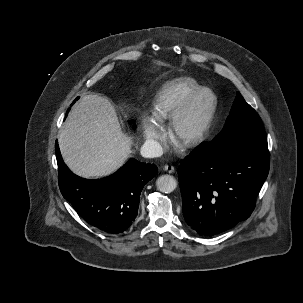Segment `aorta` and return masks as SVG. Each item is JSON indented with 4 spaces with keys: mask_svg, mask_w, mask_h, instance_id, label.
Returning <instances> with one entry per match:
<instances>
[{
    "mask_svg": "<svg viewBox=\"0 0 303 303\" xmlns=\"http://www.w3.org/2000/svg\"><path fill=\"white\" fill-rule=\"evenodd\" d=\"M156 185L159 191L170 193L176 189L177 182L173 176L166 174L158 177Z\"/></svg>",
    "mask_w": 303,
    "mask_h": 303,
    "instance_id": "aorta-1",
    "label": "aorta"
}]
</instances>
